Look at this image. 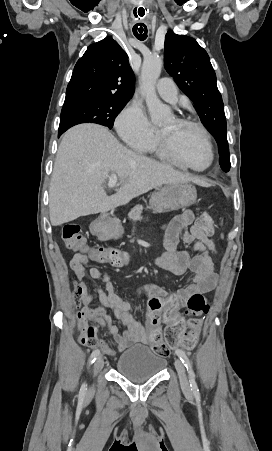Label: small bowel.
<instances>
[{
    "label": "small bowel",
    "mask_w": 272,
    "mask_h": 451,
    "mask_svg": "<svg viewBox=\"0 0 272 451\" xmlns=\"http://www.w3.org/2000/svg\"><path fill=\"white\" fill-rule=\"evenodd\" d=\"M163 230L166 252L154 260L155 266L175 275L191 273L192 283L173 294H167L153 284H145L138 293L147 299V316L162 315L165 323L172 324L179 319V311L187 306L190 295L207 293L216 287L217 273L211 256L216 253V248L211 239L199 238V228L193 224L191 211H184L164 224ZM180 240L192 245V251L178 250ZM88 256L90 261L106 262L100 254ZM75 276L74 303L79 308L76 326L80 333L86 329L89 322L105 328L115 341L117 349L107 345L103 346V352L113 359L118 352L126 350L132 344H146L148 331L135 318V305L126 302L115 292L114 284L106 271L94 266L93 270H86L85 274ZM87 277L104 283V288L98 286L95 289L97 302L87 287ZM108 309L113 310L116 318L124 325L123 331L113 324ZM158 337L160 338V331Z\"/></svg>",
    "instance_id": "small-bowel-1"
}]
</instances>
